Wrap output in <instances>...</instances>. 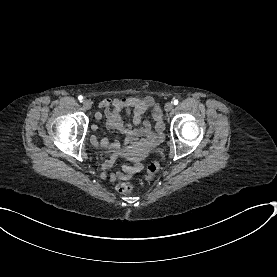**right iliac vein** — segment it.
<instances>
[{"instance_id":"obj_1","label":"right iliac vein","mask_w":277,"mask_h":277,"mask_svg":"<svg viewBox=\"0 0 277 277\" xmlns=\"http://www.w3.org/2000/svg\"><path fill=\"white\" fill-rule=\"evenodd\" d=\"M83 107H84L86 110H89V109H91V107H92V103H91L89 100H84V101H83Z\"/></svg>"}]
</instances>
